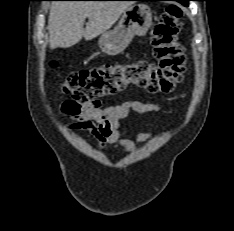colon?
Wrapping results in <instances>:
<instances>
[{"label":"colon","instance_id":"obj_1","mask_svg":"<svg viewBox=\"0 0 234 231\" xmlns=\"http://www.w3.org/2000/svg\"><path fill=\"white\" fill-rule=\"evenodd\" d=\"M178 6H170L160 14L153 27L151 43L158 63L135 61L112 63L70 73L63 90L70 97L64 107L77 113L80 105L136 86L154 93H168L182 81L186 59L179 42L180 17Z\"/></svg>","mask_w":234,"mask_h":231}]
</instances>
